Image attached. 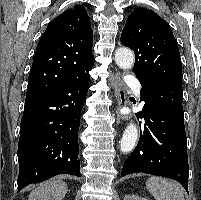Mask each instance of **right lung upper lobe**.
Instances as JSON below:
<instances>
[{
    "mask_svg": "<svg viewBox=\"0 0 201 200\" xmlns=\"http://www.w3.org/2000/svg\"><path fill=\"white\" fill-rule=\"evenodd\" d=\"M92 46L93 31L84 6L76 5L57 16L37 45L26 96L59 88L84 75L95 62Z\"/></svg>",
    "mask_w": 201,
    "mask_h": 200,
    "instance_id": "right-lung-upper-lobe-1",
    "label": "right lung upper lobe"
}]
</instances>
